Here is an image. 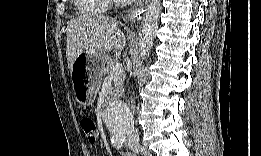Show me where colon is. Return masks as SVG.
I'll return each instance as SVG.
<instances>
[{"instance_id":"5ec220e1","label":"colon","mask_w":261,"mask_h":156,"mask_svg":"<svg viewBox=\"0 0 261 156\" xmlns=\"http://www.w3.org/2000/svg\"><path fill=\"white\" fill-rule=\"evenodd\" d=\"M80 125L88 142L94 144L99 135L95 121L89 116H84L81 118Z\"/></svg>"}]
</instances>
